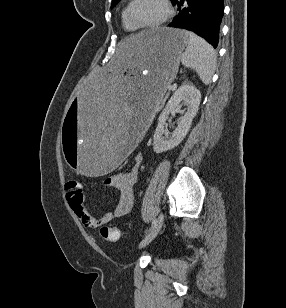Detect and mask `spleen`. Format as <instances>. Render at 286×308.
Segmentation results:
<instances>
[{"label":"spleen","instance_id":"1","mask_svg":"<svg viewBox=\"0 0 286 308\" xmlns=\"http://www.w3.org/2000/svg\"><path fill=\"white\" fill-rule=\"evenodd\" d=\"M185 33L187 45L181 62L185 67L195 70L204 84H209L216 67V53L205 39L190 31Z\"/></svg>","mask_w":286,"mask_h":308}]
</instances>
